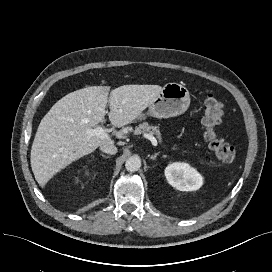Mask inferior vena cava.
<instances>
[{
    "label": "inferior vena cava",
    "mask_w": 272,
    "mask_h": 272,
    "mask_svg": "<svg viewBox=\"0 0 272 272\" xmlns=\"http://www.w3.org/2000/svg\"><path fill=\"white\" fill-rule=\"evenodd\" d=\"M100 150L106 154H116L117 147L113 143H105L100 146Z\"/></svg>",
    "instance_id": "inferior-vena-cava-1"
}]
</instances>
